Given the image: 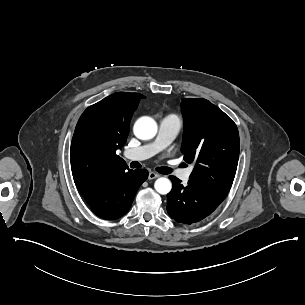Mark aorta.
Returning a JSON list of instances; mask_svg holds the SVG:
<instances>
[{
	"label": "aorta",
	"mask_w": 305,
	"mask_h": 305,
	"mask_svg": "<svg viewBox=\"0 0 305 305\" xmlns=\"http://www.w3.org/2000/svg\"><path fill=\"white\" fill-rule=\"evenodd\" d=\"M134 134L141 140L152 139L157 133V124L150 117L139 118L133 128ZM155 190L162 195L168 194L172 189V183L169 179L161 177L154 183Z\"/></svg>",
	"instance_id": "aorta-1"
}]
</instances>
